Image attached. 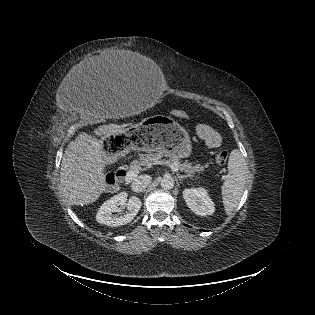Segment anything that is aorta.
Returning a JSON list of instances; mask_svg holds the SVG:
<instances>
[{"mask_svg": "<svg viewBox=\"0 0 315 315\" xmlns=\"http://www.w3.org/2000/svg\"><path fill=\"white\" fill-rule=\"evenodd\" d=\"M174 184V179L170 175H165L160 182L161 187L164 189H172Z\"/></svg>", "mask_w": 315, "mask_h": 315, "instance_id": "obj_1", "label": "aorta"}]
</instances>
